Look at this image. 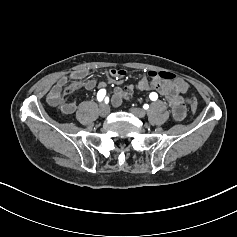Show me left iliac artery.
I'll use <instances>...</instances> for the list:
<instances>
[{"instance_id": "obj_1", "label": "left iliac artery", "mask_w": 237, "mask_h": 237, "mask_svg": "<svg viewBox=\"0 0 237 237\" xmlns=\"http://www.w3.org/2000/svg\"><path fill=\"white\" fill-rule=\"evenodd\" d=\"M149 97H150V99H151L152 101H156L157 98H158V95H157V93L152 92V93H150ZM143 108H144V109H148V108H149L148 104H145V105L143 106Z\"/></svg>"}]
</instances>
